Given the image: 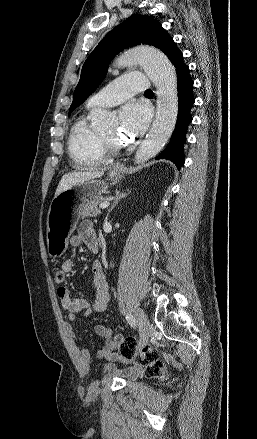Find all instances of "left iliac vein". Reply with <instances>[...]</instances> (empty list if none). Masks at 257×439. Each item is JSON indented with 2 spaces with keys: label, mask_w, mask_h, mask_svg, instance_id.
Returning <instances> with one entry per match:
<instances>
[{
  "label": "left iliac vein",
  "mask_w": 257,
  "mask_h": 439,
  "mask_svg": "<svg viewBox=\"0 0 257 439\" xmlns=\"http://www.w3.org/2000/svg\"><path fill=\"white\" fill-rule=\"evenodd\" d=\"M136 322L139 327L141 340L143 343H145L150 337L151 328L148 317L146 316L145 312L140 308H138L136 311Z\"/></svg>",
  "instance_id": "obj_1"
}]
</instances>
